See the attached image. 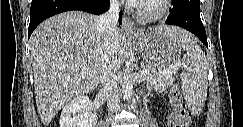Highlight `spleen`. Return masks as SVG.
I'll return each mask as SVG.
<instances>
[{"mask_svg":"<svg viewBox=\"0 0 243 127\" xmlns=\"http://www.w3.org/2000/svg\"><path fill=\"white\" fill-rule=\"evenodd\" d=\"M171 35L178 46L186 51L183 59L174 65L176 70L183 68L181 79L184 98L192 112L200 113L206 101L208 87V63L205 54L191 34L180 30L171 31Z\"/></svg>","mask_w":243,"mask_h":127,"instance_id":"spleen-1","label":"spleen"}]
</instances>
